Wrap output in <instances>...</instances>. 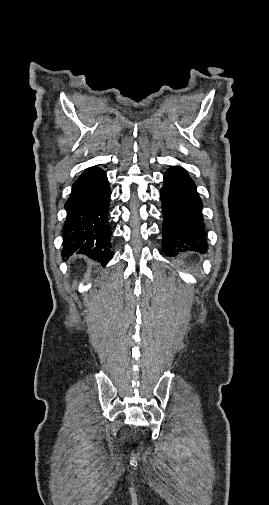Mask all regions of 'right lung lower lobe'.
<instances>
[{
	"instance_id": "right-lung-lower-lobe-1",
	"label": "right lung lower lobe",
	"mask_w": 269,
	"mask_h": 505,
	"mask_svg": "<svg viewBox=\"0 0 269 505\" xmlns=\"http://www.w3.org/2000/svg\"><path fill=\"white\" fill-rule=\"evenodd\" d=\"M111 195L106 173L92 167L73 184L65 204L63 253L85 254L105 265L111 257V229L108 224Z\"/></svg>"
}]
</instances>
